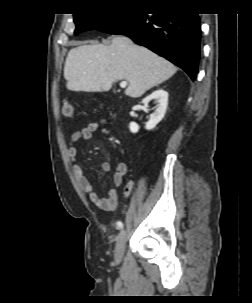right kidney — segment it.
Here are the masks:
<instances>
[{
    "mask_svg": "<svg viewBox=\"0 0 252 303\" xmlns=\"http://www.w3.org/2000/svg\"><path fill=\"white\" fill-rule=\"evenodd\" d=\"M152 100H156L158 105L155 112L150 115V119L145 125L146 130H152L164 118L168 105V93L164 89L154 91L142 100L144 107H148L149 102ZM129 129L132 133H137L139 126L135 122H131L129 124Z\"/></svg>",
    "mask_w": 252,
    "mask_h": 303,
    "instance_id": "1",
    "label": "right kidney"
}]
</instances>
